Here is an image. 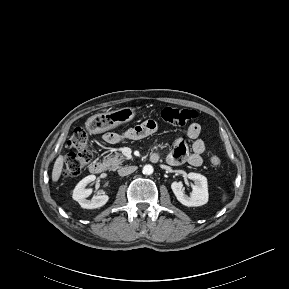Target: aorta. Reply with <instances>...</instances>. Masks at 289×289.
Listing matches in <instances>:
<instances>
[{"instance_id":"aorta-1","label":"aorta","mask_w":289,"mask_h":289,"mask_svg":"<svg viewBox=\"0 0 289 289\" xmlns=\"http://www.w3.org/2000/svg\"><path fill=\"white\" fill-rule=\"evenodd\" d=\"M153 171H154L153 167L149 164L143 167V174L145 175H151Z\"/></svg>"}]
</instances>
